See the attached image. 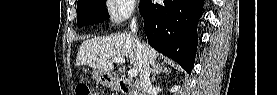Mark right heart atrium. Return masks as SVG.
Masks as SVG:
<instances>
[{
  "instance_id": "right-heart-atrium-1",
  "label": "right heart atrium",
  "mask_w": 277,
  "mask_h": 95,
  "mask_svg": "<svg viewBox=\"0 0 277 95\" xmlns=\"http://www.w3.org/2000/svg\"><path fill=\"white\" fill-rule=\"evenodd\" d=\"M135 0H110L108 16L112 23L119 24L129 18L136 7Z\"/></svg>"
}]
</instances>
